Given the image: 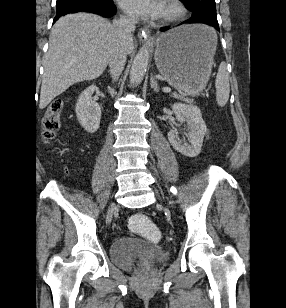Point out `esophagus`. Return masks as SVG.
I'll return each mask as SVG.
<instances>
[{"mask_svg":"<svg viewBox=\"0 0 286 308\" xmlns=\"http://www.w3.org/2000/svg\"><path fill=\"white\" fill-rule=\"evenodd\" d=\"M138 38L140 41H148L151 39V32L150 30L145 27L142 30L139 31L138 33Z\"/></svg>","mask_w":286,"mask_h":308,"instance_id":"esophagus-1","label":"esophagus"}]
</instances>
